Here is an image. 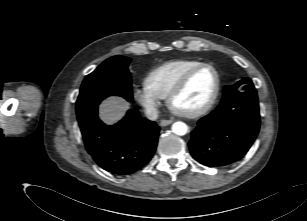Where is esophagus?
I'll return each mask as SVG.
<instances>
[{
	"label": "esophagus",
	"instance_id": "34e87169",
	"mask_svg": "<svg viewBox=\"0 0 307 221\" xmlns=\"http://www.w3.org/2000/svg\"><path fill=\"white\" fill-rule=\"evenodd\" d=\"M173 122H174L173 120H166V119H164V120L160 121V125L161 126H168V125H170Z\"/></svg>",
	"mask_w": 307,
	"mask_h": 221
}]
</instances>
